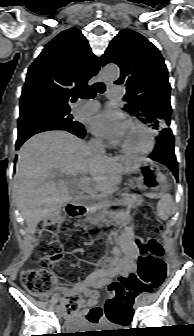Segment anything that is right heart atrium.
Instances as JSON below:
<instances>
[{
    "mask_svg": "<svg viewBox=\"0 0 194 336\" xmlns=\"http://www.w3.org/2000/svg\"><path fill=\"white\" fill-rule=\"evenodd\" d=\"M93 141L96 144H101L102 143L101 139H99V138H95Z\"/></svg>",
    "mask_w": 194,
    "mask_h": 336,
    "instance_id": "d8ad5b80",
    "label": "right heart atrium"
}]
</instances>
